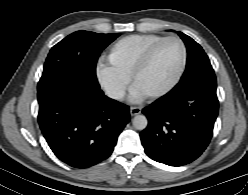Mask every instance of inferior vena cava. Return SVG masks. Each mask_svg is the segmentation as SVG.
<instances>
[{"label":"inferior vena cava","instance_id":"602c4592","mask_svg":"<svg viewBox=\"0 0 248 195\" xmlns=\"http://www.w3.org/2000/svg\"><path fill=\"white\" fill-rule=\"evenodd\" d=\"M106 96L114 100H122L124 97V92L118 89H108L105 92Z\"/></svg>","mask_w":248,"mask_h":195}]
</instances>
